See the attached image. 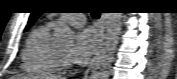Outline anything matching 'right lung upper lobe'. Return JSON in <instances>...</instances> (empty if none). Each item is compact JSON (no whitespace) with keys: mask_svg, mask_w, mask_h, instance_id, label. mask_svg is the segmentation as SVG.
Segmentation results:
<instances>
[{"mask_svg":"<svg viewBox=\"0 0 177 79\" xmlns=\"http://www.w3.org/2000/svg\"><path fill=\"white\" fill-rule=\"evenodd\" d=\"M41 15V12H33L30 15L28 26L33 25V23L37 20V18Z\"/></svg>","mask_w":177,"mask_h":79,"instance_id":"right-lung-upper-lobe-1","label":"right lung upper lobe"}]
</instances>
